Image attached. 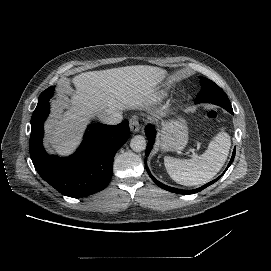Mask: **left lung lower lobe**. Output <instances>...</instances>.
Segmentation results:
<instances>
[{
  "label": "left lung lower lobe",
  "mask_w": 271,
  "mask_h": 271,
  "mask_svg": "<svg viewBox=\"0 0 271 271\" xmlns=\"http://www.w3.org/2000/svg\"><path fill=\"white\" fill-rule=\"evenodd\" d=\"M228 111V110H227ZM229 113L231 114H234L233 113V110H229L228 111ZM145 134L149 140V143L147 144V148H146V156L149 155L151 149H152V145L154 144V141H155V135H156V130H155V127L153 125H148L146 128H145ZM235 152H236V149L234 148V151H233V154H232V157L230 159V162L227 166V168L225 169V171L229 168V166L232 164L233 160H234V157H235ZM145 165H146V170L149 174V176L152 178V180L161 188L167 190V191H170V192H173V193H178V194H194V193H197L201 190H203L204 188L208 187L209 185L213 184L214 182H216L224 173L225 171L223 172V174L221 176H219L218 178H216L215 180L197 188V189H193V190H182V189H177V188H173V187H169L167 185H164L163 183L159 182L158 180H156L150 173L148 167H147V164H146V159H145Z\"/></svg>",
  "instance_id": "0a47b994"
}]
</instances>
